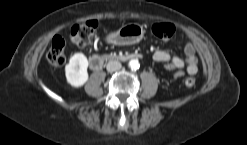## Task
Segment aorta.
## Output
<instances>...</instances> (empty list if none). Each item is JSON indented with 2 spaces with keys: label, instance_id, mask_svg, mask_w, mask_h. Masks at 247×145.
I'll return each mask as SVG.
<instances>
[{
  "label": "aorta",
  "instance_id": "1",
  "mask_svg": "<svg viewBox=\"0 0 247 145\" xmlns=\"http://www.w3.org/2000/svg\"><path fill=\"white\" fill-rule=\"evenodd\" d=\"M129 67H130L132 70H137V69H139V67H140L139 61L136 60V59L130 60V62H129Z\"/></svg>",
  "mask_w": 247,
  "mask_h": 145
}]
</instances>
